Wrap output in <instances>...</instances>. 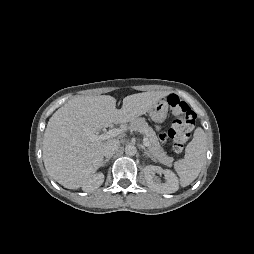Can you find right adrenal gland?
<instances>
[{"label": "right adrenal gland", "instance_id": "1", "mask_svg": "<svg viewBox=\"0 0 254 254\" xmlns=\"http://www.w3.org/2000/svg\"><path fill=\"white\" fill-rule=\"evenodd\" d=\"M109 160H110V158L105 159V160L102 162V165H101V166H105V164H106L107 162H109Z\"/></svg>", "mask_w": 254, "mask_h": 254}]
</instances>
